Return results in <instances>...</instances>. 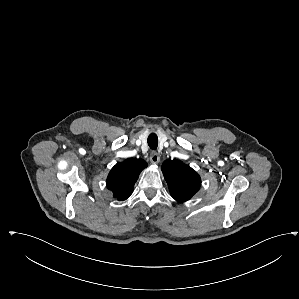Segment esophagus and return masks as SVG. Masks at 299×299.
<instances>
[{"instance_id":"1","label":"esophagus","mask_w":299,"mask_h":299,"mask_svg":"<svg viewBox=\"0 0 299 299\" xmlns=\"http://www.w3.org/2000/svg\"><path fill=\"white\" fill-rule=\"evenodd\" d=\"M150 161H151L153 164H157V163H159V161H160V156L158 155V153H156V152H152V153H151V156H150Z\"/></svg>"}]
</instances>
